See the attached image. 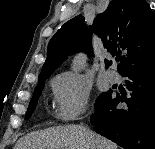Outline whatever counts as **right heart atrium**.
<instances>
[{
  "mask_svg": "<svg viewBox=\"0 0 155 149\" xmlns=\"http://www.w3.org/2000/svg\"><path fill=\"white\" fill-rule=\"evenodd\" d=\"M54 112L64 122L80 118L87 110L90 87L77 73L63 72L52 80Z\"/></svg>",
  "mask_w": 155,
  "mask_h": 149,
  "instance_id": "1",
  "label": "right heart atrium"
}]
</instances>
